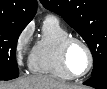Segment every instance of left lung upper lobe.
I'll return each instance as SVG.
<instances>
[{
	"label": "left lung upper lobe",
	"mask_w": 107,
	"mask_h": 89,
	"mask_svg": "<svg viewBox=\"0 0 107 89\" xmlns=\"http://www.w3.org/2000/svg\"><path fill=\"white\" fill-rule=\"evenodd\" d=\"M88 44L94 60L92 76L107 66V0H41Z\"/></svg>",
	"instance_id": "obj_1"
}]
</instances>
